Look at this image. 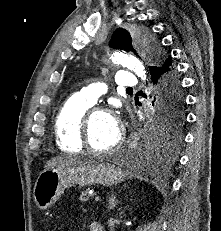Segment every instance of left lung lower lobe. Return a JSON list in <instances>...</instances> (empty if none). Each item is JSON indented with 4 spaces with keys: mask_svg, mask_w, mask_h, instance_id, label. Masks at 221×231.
<instances>
[{
    "mask_svg": "<svg viewBox=\"0 0 221 231\" xmlns=\"http://www.w3.org/2000/svg\"><path fill=\"white\" fill-rule=\"evenodd\" d=\"M151 80L155 86V99L152 102L154 113L159 117L166 116L172 110L173 104L181 96V83L178 73L172 64L171 57L166 58L162 64H156L149 67ZM168 142H176L178 140L166 139L161 133H151L147 138L145 146H142L136 152L138 158L145 159L155 155L160 146Z\"/></svg>",
    "mask_w": 221,
    "mask_h": 231,
    "instance_id": "0a47b994",
    "label": "left lung lower lobe"
}]
</instances>
